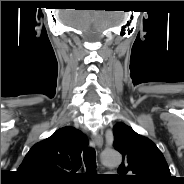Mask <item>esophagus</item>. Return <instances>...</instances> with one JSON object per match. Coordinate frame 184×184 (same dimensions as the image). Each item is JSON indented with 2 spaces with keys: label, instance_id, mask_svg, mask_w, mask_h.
Listing matches in <instances>:
<instances>
[{
  "label": "esophagus",
  "instance_id": "obj_1",
  "mask_svg": "<svg viewBox=\"0 0 184 184\" xmlns=\"http://www.w3.org/2000/svg\"><path fill=\"white\" fill-rule=\"evenodd\" d=\"M92 144L97 148H101L103 145V138L98 133L92 134L91 136Z\"/></svg>",
  "mask_w": 184,
  "mask_h": 184
}]
</instances>
